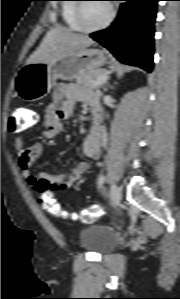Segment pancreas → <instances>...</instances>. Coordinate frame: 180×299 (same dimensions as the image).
<instances>
[{
	"mask_svg": "<svg viewBox=\"0 0 180 299\" xmlns=\"http://www.w3.org/2000/svg\"><path fill=\"white\" fill-rule=\"evenodd\" d=\"M107 71L105 69H95L84 73L77 77V84L82 85L88 89H94V82L102 75H105Z\"/></svg>",
	"mask_w": 180,
	"mask_h": 299,
	"instance_id": "cf45deb5",
	"label": "pancreas"
}]
</instances>
